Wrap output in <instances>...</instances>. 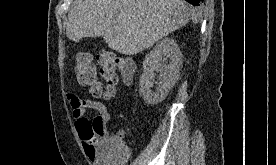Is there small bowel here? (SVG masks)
Listing matches in <instances>:
<instances>
[{
  "mask_svg": "<svg viewBox=\"0 0 276 165\" xmlns=\"http://www.w3.org/2000/svg\"><path fill=\"white\" fill-rule=\"evenodd\" d=\"M68 103L72 109V115L75 119L78 130V122L82 118H86L89 110L96 113L92 122L98 123L101 126L102 134L97 143L93 146H88L84 141V149L88 158L95 165H123L129 156V149L124 143L125 132L118 130L111 134L107 129V124L111 120V114L107 107L99 101L81 99L73 93L67 94ZM113 140L118 144V151H111L108 148V141Z\"/></svg>",
  "mask_w": 276,
  "mask_h": 165,
  "instance_id": "obj_1",
  "label": "small bowel"
}]
</instances>
